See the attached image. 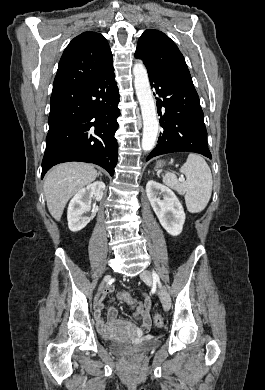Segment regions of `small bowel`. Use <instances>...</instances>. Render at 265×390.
I'll return each instance as SVG.
<instances>
[{
  "label": "small bowel",
  "mask_w": 265,
  "mask_h": 390,
  "mask_svg": "<svg viewBox=\"0 0 265 390\" xmlns=\"http://www.w3.org/2000/svg\"><path fill=\"white\" fill-rule=\"evenodd\" d=\"M131 310L133 311V314L135 318L141 323V327L139 329L140 332L144 333L147 332L151 326V316H150V308H151V301L149 297L145 294H143V300L142 301H136L134 305L130 306ZM116 310L113 308H110L107 312V318L110 323H113L116 321ZM95 317L98 323V326L100 330L103 333L107 332V326L102 320L101 315V305L97 304L96 306V312Z\"/></svg>",
  "instance_id": "c3829d8e"
}]
</instances>
